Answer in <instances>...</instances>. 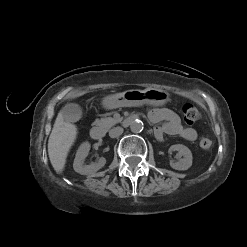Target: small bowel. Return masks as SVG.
<instances>
[{"mask_svg":"<svg viewBox=\"0 0 247 247\" xmlns=\"http://www.w3.org/2000/svg\"><path fill=\"white\" fill-rule=\"evenodd\" d=\"M148 117L152 123L163 122L154 130L155 137L162 140L165 134L176 135L185 140L193 141L197 138L194 128L181 123L179 116L168 108H156L148 112Z\"/></svg>","mask_w":247,"mask_h":247,"instance_id":"1","label":"small bowel"}]
</instances>
